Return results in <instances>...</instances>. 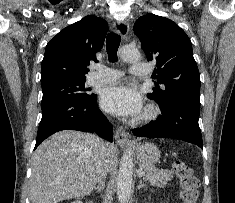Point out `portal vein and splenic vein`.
<instances>
[{"mask_svg":"<svg viewBox=\"0 0 235 203\" xmlns=\"http://www.w3.org/2000/svg\"><path fill=\"white\" fill-rule=\"evenodd\" d=\"M142 176H144V172L141 171L138 173V177H142Z\"/></svg>","mask_w":235,"mask_h":203,"instance_id":"18ae733b","label":"portal vein and splenic vein"}]
</instances>
